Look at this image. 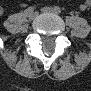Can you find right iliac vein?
I'll return each mask as SVG.
<instances>
[{"label": "right iliac vein", "mask_w": 91, "mask_h": 91, "mask_svg": "<svg viewBox=\"0 0 91 91\" xmlns=\"http://www.w3.org/2000/svg\"><path fill=\"white\" fill-rule=\"evenodd\" d=\"M27 17L29 20H34L37 17V13L36 12H30L29 14H27Z\"/></svg>", "instance_id": "obj_1"}]
</instances>
